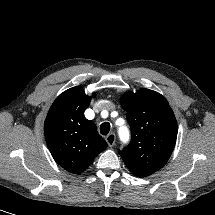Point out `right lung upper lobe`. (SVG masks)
I'll use <instances>...</instances> for the list:
<instances>
[{"mask_svg": "<svg viewBox=\"0 0 215 215\" xmlns=\"http://www.w3.org/2000/svg\"><path fill=\"white\" fill-rule=\"evenodd\" d=\"M90 101L91 97L82 87L70 88L56 98L44 123L45 139L52 157L74 174L87 169L107 147L95 124L84 116Z\"/></svg>", "mask_w": 215, "mask_h": 215, "instance_id": "cb5924a9", "label": "right lung upper lobe"}]
</instances>
